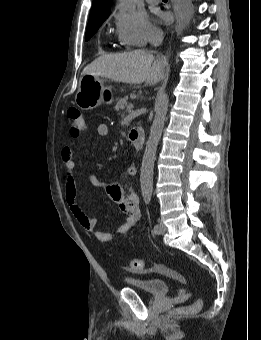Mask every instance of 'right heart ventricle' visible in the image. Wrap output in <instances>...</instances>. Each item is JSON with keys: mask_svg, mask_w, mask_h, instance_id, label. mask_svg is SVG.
I'll return each instance as SVG.
<instances>
[{"mask_svg": "<svg viewBox=\"0 0 261 340\" xmlns=\"http://www.w3.org/2000/svg\"><path fill=\"white\" fill-rule=\"evenodd\" d=\"M119 40H120V42L122 43V44H126L125 42H123L120 38H119Z\"/></svg>", "mask_w": 261, "mask_h": 340, "instance_id": "obj_1", "label": "right heart ventricle"}]
</instances>
